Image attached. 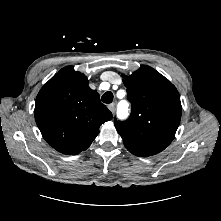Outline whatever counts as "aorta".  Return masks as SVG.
<instances>
[{
  "mask_svg": "<svg viewBox=\"0 0 221 221\" xmlns=\"http://www.w3.org/2000/svg\"><path fill=\"white\" fill-rule=\"evenodd\" d=\"M118 114L120 117L125 118L127 116V105H121L118 109Z\"/></svg>",
  "mask_w": 221,
  "mask_h": 221,
  "instance_id": "aorta-1",
  "label": "aorta"
}]
</instances>
